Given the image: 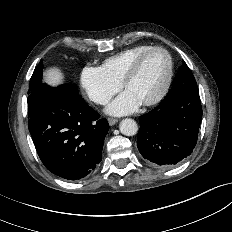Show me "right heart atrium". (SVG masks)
Masks as SVG:
<instances>
[{"instance_id":"1","label":"right heart atrium","mask_w":232,"mask_h":232,"mask_svg":"<svg viewBox=\"0 0 232 232\" xmlns=\"http://www.w3.org/2000/svg\"><path fill=\"white\" fill-rule=\"evenodd\" d=\"M80 84L85 94L100 105L106 104L121 87L101 67L94 66H86L82 69Z\"/></svg>"}]
</instances>
